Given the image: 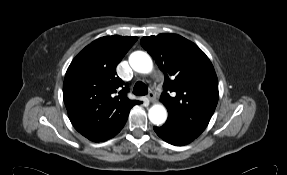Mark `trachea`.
<instances>
[{
    "instance_id": "trachea-1",
    "label": "trachea",
    "mask_w": 287,
    "mask_h": 175,
    "mask_svg": "<svg viewBox=\"0 0 287 175\" xmlns=\"http://www.w3.org/2000/svg\"><path fill=\"white\" fill-rule=\"evenodd\" d=\"M133 93L138 96L146 95L148 93V87L145 83L138 81L133 88Z\"/></svg>"
}]
</instances>
